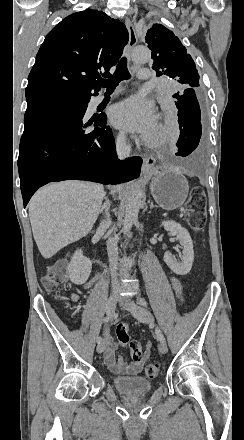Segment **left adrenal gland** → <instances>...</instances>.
Returning a JSON list of instances; mask_svg holds the SVG:
<instances>
[{"label": "left adrenal gland", "instance_id": "a2214340", "mask_svg": "<svg viewBox=\"0 0 244 440\" xmlns=\"http://www.w3.org/2000/svg\"><path fill=\"white\" fill-rule=\"evenodd\" d=\"M152 208H158V206H154L153 202H151V204H150V210H152Z\"/></svg>", "mask_w": 244, "mask_h": 440}]
</instances>
